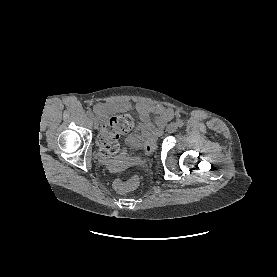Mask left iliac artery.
<instances>
[{"mask_svg": "<svg viewBox=\"0 0 277 277\" xmlns=\"http://www.w3.org/2000/svg\"><path fill=\"white\" fill-rule=\"evenodd\" d=\"M176 124L178 127H182L184 125V122L183 120H178Z\"/></svg>", "mask_w": 277, "mask_h": 277, "instance_id": "1", "label": "left iliac artery"}]
</instances>
